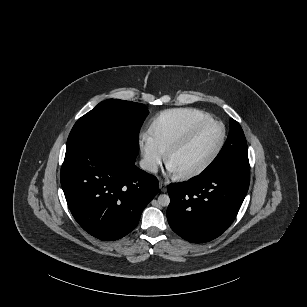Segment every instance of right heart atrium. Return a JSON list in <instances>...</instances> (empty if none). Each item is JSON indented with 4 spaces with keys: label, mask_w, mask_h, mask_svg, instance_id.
<instances>
[{
    "label": "right heart atrium",
    "mask_w": 307,
    "mask_h": 307,
    "mask_svg": "<svg viewBox=\"0 0 307 307\" xmlns=\"http://www.w3.org/2000/svg\"><path fill=\"white\" fill-rule=\"evenodd\" d=\"M139 150L143 167L150 173H155L164 160V152L152 138L144 134L139 136Z\"/></svg>",
    "instance_id": "d8ad5b80"
}]
</instances>
